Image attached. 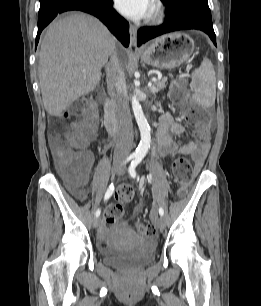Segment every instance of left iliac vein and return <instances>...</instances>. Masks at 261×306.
<instances>
[{"instance_id":"1","label":"left iliac vein","mask_w":261,"mask_h":306,"mask_svg":"<svg viewBox=\"0 0 261 306\" xmlns=\"http://www.w3.org/2000/svg\"><path fill=\"white\" fill-rule=\"evenodd\" d=\"M125 173V168H123L121 171H120V175H123ZM155 224L157 227H159L160 229H163L164 226H165V221L163 219L162 216H159L155 219Z\"/></svg>"}]
</instances>
